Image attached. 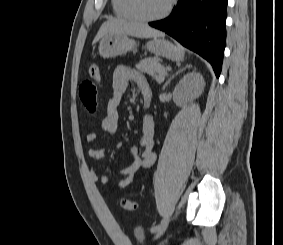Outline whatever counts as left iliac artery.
Returning <instances> with one entry per match:
<instances>
[{
    "mask_svg": "<svg viewBox=\"0 0 283 245\" xmlns=\"http://www.w3.org/2000/svg\"><path fill=\"white\" fill-rule=\"evenodd\" d=\"M164 222H165V219L162 220L159 224L153 226V227L151 228V232H152V233L158 232V231L163 227Z\"/></svg>",
    "mask_w": 283,
    "mask_h": 245,
    "instance_id": "left-iliac-artery-1",
    "label": "left iliac artery"
}]
</instances>
